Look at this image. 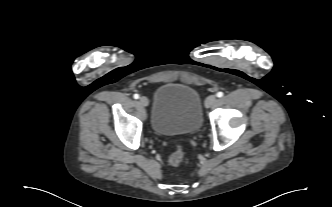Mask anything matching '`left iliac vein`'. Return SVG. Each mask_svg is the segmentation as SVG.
<instances>
[{
	"label": "left iliac vein",
	"mask_w": 332,
	"mask_h": 207,
	"mask_svg": "<svg viewBox=\"0 0 332 207\" xmlns=\"http://www.w3.org/2000/svg\"><path fill=\"white\" fill-rule=\"evenodd\" d=\"M216 102H217V97L215 95H210L205 100V106L207 108H211L216 104Z\"/></svg>",
	"instance_id": "4c4485c4"
}]
</instances>
